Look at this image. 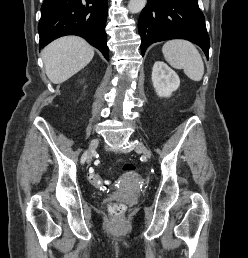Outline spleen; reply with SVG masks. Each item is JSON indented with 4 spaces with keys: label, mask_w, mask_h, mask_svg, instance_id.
<instances>
[{
    "label": "spleen",
    "mask_w": 248,
    "mask_h": 258,
    "mask_svg": "<svg viewBox=\"0 0 248 258\" xmlns=\"http://www.w3.org/2000/svg\"><path fill=\"white\" fill-rule=\"evenodd\" d=\"M162 52L166 61L176 69H183L189 79L199 82L204 74V63L195 45L189 41L175 39L167 41Z\"/></svg>",
    "instance_id": "1"
}]
</instances>
